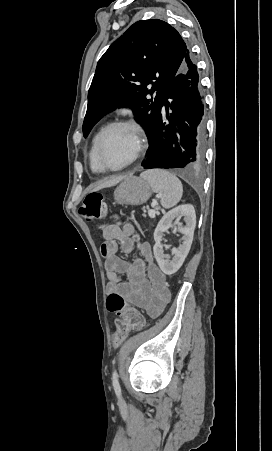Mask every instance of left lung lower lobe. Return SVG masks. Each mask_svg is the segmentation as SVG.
Wrapping results in <instances>:
<instances>
[{"instance_id":"left-lung-lower-lobe-1","label":"left lung lower lobe","mask_w":272,"mask_h":451,"mask_svg":"<svg viewBox=\"0 0 272 451\" xmlns=\"http://www.w3.org/2000/svg\"><path fill=\"white\" fill-rule=\"evenodd\" d=\"M169 110L172 113H169ZM204 101L197 67L187 49L162 100L145 169H194L204 161Z\"/></svg>"}]
</instances>
